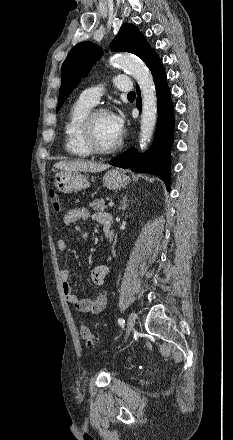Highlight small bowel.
Returning <instances> with one entry per match:
<instances>
[{"mask_svg": "<svg viewBox=\"0 0 233 440\" xmlns=\"http://www.w3.org/2000/svg\"><path fill=\"white\" fill-rule=\"evenodd\" d=\"M90 213L85 207H76L69 210L63 217V222L66 225L73 224L79 220H85L89 217ZM111 216L106 212H95L93 219L102 224L105 217ZM76 230L81 233L84 238H87V233L76 227ZM57 248L59 251L67 250V242L64 239L57 241ZM109 273V267L106 264H99L95 266L91 273L92 282L97 286H102L105 283L106 276ZM71 270L63 268L60 270V279L62 282V290L66 296L67 301L75 307L78 312L99 314L101 313L107 303V294L102 293L96 298H80L74 293L73 286L70 282Z\"/></svg>", "mask_w": 233, "mask_h": 440, "instance_id": "c3829d8e", "label": "small bowel"}]
</instances>
